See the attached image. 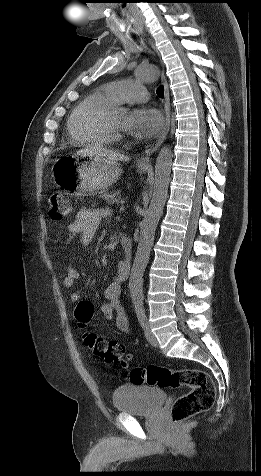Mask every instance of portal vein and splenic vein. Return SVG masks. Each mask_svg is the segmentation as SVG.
<instances>
[{
    "instance_id": "18ae733b",
    "label": "portal vein and splenic vein",
    "mask_w": 261,
    "mask_h": 476,
    "mask_svg": "<svg viewBox=\"0 0 261 476\" xmlns=\"http://www.w3.org/2000/svg\"><path fill=\"white\" fill-rule=\"evenodd\" d=\"M125 210V207L124 206H121L120 207V212H123Z\"/></svg>"
}]
</instances>
